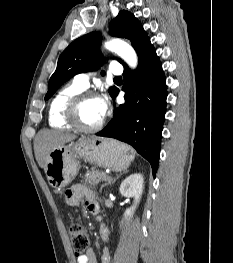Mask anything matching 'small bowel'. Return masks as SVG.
I'll use <instances>...</instances> for the list:
<instances>
[{"label":"small bowel","mask_w":233,"mask_h":263,"mask_svg":"<svg viewBox=\"0 0 233 263\" xmlns=\"http://www.w3.org/2000/svg\"><path fill=\"white\" fill-rule=\"evenodd\" d=\"M84 199L85 205L93 214L98 213V205L96 203L93 193L81 184H73L68 188L65 193V200L69 205H77L81 199ZM101 235L104 240L108 239V230L104 225H101ZM102 263H109L110 252L108 248H105L102 256ZM77 263H97L95 253L90 248L88 251L76 258Z\"/></svg>","instance_id":"c3829d8e"}]
</instances>
